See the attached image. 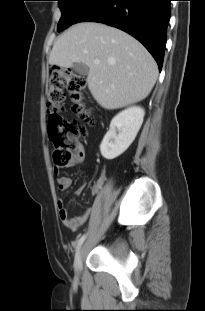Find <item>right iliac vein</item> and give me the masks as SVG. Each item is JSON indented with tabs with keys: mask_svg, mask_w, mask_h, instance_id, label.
<instances>
[{
	"mask_svg": "<svg viewBox=\"0 0 205 311\" xmlns=\"http://www.w3.org/2000/svg\"><path fill=\"white\" fill-rule=\"evenodd\" d=\"M83 257H84V247L81 246L78 248L76 256H75V260H74V268H75L76 274L80 273Z\"/></svg>",
	"mask_w": 205,
	"mask_h": 311,
	"instance_id": "63e3f726",
	"label": "right iliac vein"
}]
</instances>
